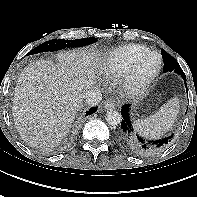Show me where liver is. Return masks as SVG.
Masks as SVG:
<instances>
[{"label": "liver", "mask_w": 197, "mask_h": 197, "mask_svg": "<svg viewBox=\"0 0 197 197\" xmlns=\"http://www.w3.org/2000/svg\"><path fill=\"white\" fill-rule=\"evenodd\" d=\"M94 54L61 52L58 64L37 60L19 75L12 112L17 130L32 147L52 148L66 136L84 93L96 84L100 62Z\"/></svg>", "instance_id": "6515ba94"}]
</instances>
